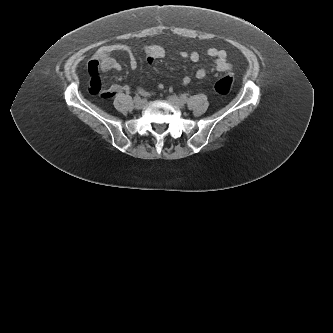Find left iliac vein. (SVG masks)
Segmentation results:
<instances>
[{
  "label": "left iliac vein",
  "mask_w": 333,
  "mask_h": 333,
  "mask_svg": "<svg viewBox=\"0 0 333 333\" xmlns=\"http://www.w3.org/2000/svg\"><path fill=\"white\" fill-rule=\"evenodd\" d=\"M169 103L173 104L174 106L178 108L184 107V102L176 95H171L168 97Z\"/></svg>",
  "instance_id": "4c4485c4"
}]
</instances>
